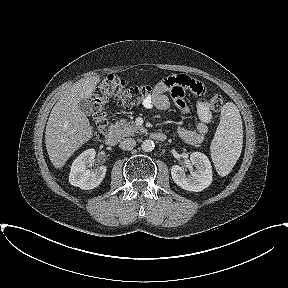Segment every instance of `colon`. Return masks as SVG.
<instances>
[{
  "label": "colon",
  "mask_w": 288,
  "mask_h": 288,
  "mask_svg": "<svg viewBox=\"0 0 288 288\" xmlns=\"http://www.w3.org/2000/svg\"><path fill=\"white\" fill-rule=\"evenodd\" d=\"M152 95L150 86H128L126 81L116 75H108L98 85L92 95V111L94 118V136L101 140L109 124V115L106 108L107 102L114 99L124 107H132L143 103ZM223 104L220 94H213L209 100V107L218 111Z\"/></svg>",
  "instance_id": "obj_1"
}]
</instances>
